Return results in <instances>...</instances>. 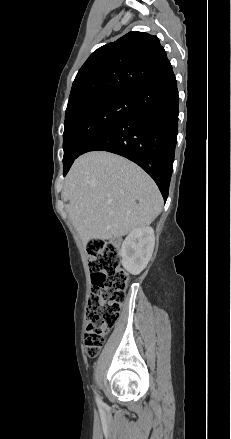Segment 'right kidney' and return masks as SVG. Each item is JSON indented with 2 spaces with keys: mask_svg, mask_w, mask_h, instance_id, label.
Segmentation results:
<instances>
[{
  "mask_svg": "<svg viewBox=\"0 0 231 439\" xmlns=\"http://www.w3.org/2000/svg\"><path fill=\"white\" fill-rule=\"evenodd\" d=\"M155 245L154 230L146 226L129 233L120 249L123 267L131 274H139L148 264Z\"/></svg>",
  "mask_w": 231,
  "mask_h": 439,
  "instance_id": "ca27d5eb",
  "label": "right kidney"
}]
</instances>
